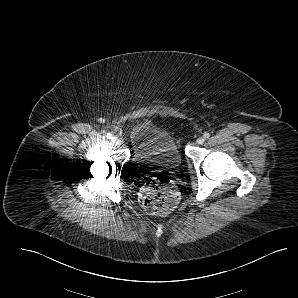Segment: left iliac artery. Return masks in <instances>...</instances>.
<instances>
[{"label": "left iliac artery", "mask_w": 298, "mask_h": 298, "mask_svg": "<svg viewBox=\"0 0 298 298\" xmlns=\"http://www.w3.org/2000/svg\"><path fill=\"white\" fill-rule=\"evenodd\" d=\"M203 137H204V138H209V137H210V134H209L208 132H205V133L203 134Z\"/></svg>", "instance_id": "44dca946"}]
</instances>
